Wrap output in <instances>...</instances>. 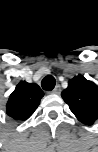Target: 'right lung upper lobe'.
Instances as JSON below:
<instances>
[{"label": "right lung upper lobe", "mask_w": 98, "mask_h": 152, "mask_svg": "<svg viewBox=\"0 0 98 152\" xmlns=\"http://www.w3.org/2000/svg\"><path fill=\"white\" fill-rule=\"evenodd\" d=\"M43 96L37 84L21 81L8 99L6 113L15 120L24 121L34 113Z\"/></svg>", "instance_id": "obj_1"}]
</instances>
